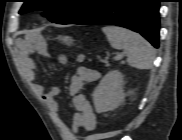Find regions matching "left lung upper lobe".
I'll list each match as a JSON object with an SVG mask.
<instances>
[{
	"label": "left lung upper lobe",
	"mask_w": 182,
	"mask_h": 140,
	"mask_svg": "<svg viewBox=\"0 0 182 140\" xmlns=\"http://www.w3.org/2000/svg\"><path fill=\"white\" fill-rule=\"evenodd\" d=\"M101 0H24L19 13L46 10L48 19L57 24H71L90 12Z\"/></svg>",
	"instance_id": "5c2ea615"
}]
</instances>
